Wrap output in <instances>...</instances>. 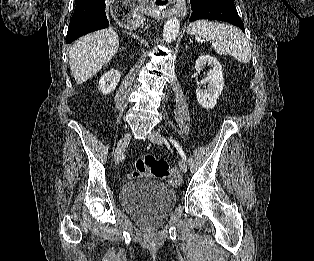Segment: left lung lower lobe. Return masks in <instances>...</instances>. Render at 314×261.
<instances>
[{
	"label": "left lung lower lobe",
	"mask_w": 314,
	"mask_h": 261,
	"mask_svg": "<svg viewBox=\"0 0 314 261\" xmlns=\"http://www.w3.org/2000/svg\"><path fill=\"white\" fill-rule=\"evenodd\" d=\"M192 15L189 21L213 19L225 21L244 30L233 0H191Z\"/></svg>",
	"instance_id": "left-lung-lower-lobe-1"
}]
</instances>
